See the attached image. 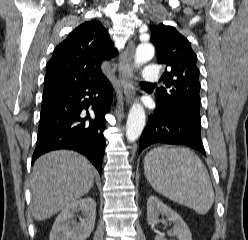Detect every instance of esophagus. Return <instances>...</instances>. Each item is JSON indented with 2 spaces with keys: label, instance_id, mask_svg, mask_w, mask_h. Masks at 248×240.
Returning <instances> with one entry per match:
<instances>
[{
  "label": "esophagus",
  "instance_id": "esophagus-1",
  "mask_svg": "<svg viewBox=\"0 0 248 240\" xmlns=\"http://www.w3.org/2000/svg\"><path fill=\"white\" fill-rule=\"evenodd\" d=\"M135 43L130 41L119 58L118 75L121 89L126 102L129 103L133 95V85L131 81L132 60L134 56Z\"/></svg>",
  "mask_w": 248,
  "mask_h": 240
}]
</instances>
